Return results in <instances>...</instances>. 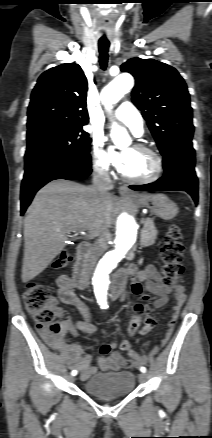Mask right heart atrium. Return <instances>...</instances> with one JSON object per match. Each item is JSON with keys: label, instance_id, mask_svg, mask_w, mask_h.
I'll return each mask as SVG.
<instances>
[{"label": "right heart atrium", "instance_id": "obj_1", "mask_svg": "<svg viewBox=\"0 0 212 438\" xmlns=\"http://www.w3.org/2000/svg\"><path fill=\"white\" fill-rule=\"evenodd\" d=\"M91 154L94 171L101 176H107L111 169V161L100 139L93 140Z\"/></svg>", "mask_w": 212, "mask_h": 438}]
</instances>
